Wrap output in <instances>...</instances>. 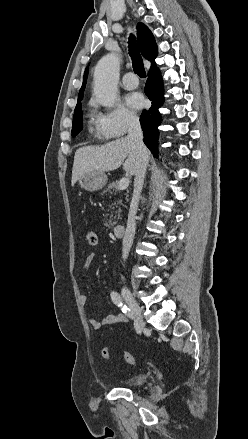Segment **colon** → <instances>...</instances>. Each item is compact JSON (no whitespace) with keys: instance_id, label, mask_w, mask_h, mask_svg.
<instances>
[{"instance_id":"5ec220e1","label":"colon","mask_w":248,"mask_h":439,"mask_svg":"<svg viewBox=\"0 0 248 439\" xmlns=\"http://www.w3.org/2000/svg\"><path fill=\"white\" fill-rule=\"evenodd\" d=\"M85 237L89 246L95 247L100 242L99 235L95 231H87ZM101 355L104 359H109L110 358L109 349L107 347L102 348ZM122 357L127 363L133 364L136 362V358L129 352L126 351L123 352Z\"/></svg>"}]
</instances>
